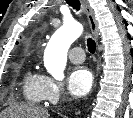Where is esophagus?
<instances>
[{"label": "esophagus", "instance_id": "obj_1", "mask_svg": "<svg viewBox=\"0 0 133 118\" xmlns=\"http://www.w3.org/2000/svg\"><path fill=\"white\" fill-rule=\"evenodd\" d=\"M81 5H82L84 13L87 16L92 35L95 38V40L97 41L99 33H98V24H97V21L94 16V11L90 7L87 0H81Z\"/></svg>", "mask_w": 133, "mask_h": 118}]
</instances>
